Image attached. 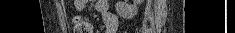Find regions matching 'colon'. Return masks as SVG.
I'll list each match as a JSON object with an SVG mask.
<instances>
[{
    "mask_svg": "<svg viewBox=\"0 0 235 33\" xmlns=\"http://www.w3.org/2000/svg\"><path fill=\"white\" fill-rule=\"evenodd\" d=\"M74 33H92V24L85 17H75L73 19Z\"/></svg>",
    "mask_w": 235,
    "mask_h": 33,
    "instance_id": "5ec220e1",
    "label": "colon"
}]
</instances>
